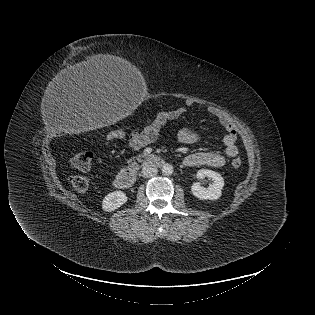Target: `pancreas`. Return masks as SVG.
Listing matches in <instances>:
<instances>
[{
  "mask_svg": "<svg viewBox=\"0 0 315 315\" xmlns=\"http://www.w3.org/2000/svg\"><path fill=\"white\" fill-rule=\"evenodd\" d=\"M129 163H131V165L134 167L135 166V164L134 163H132V160H130L129 161Z\"/></svg>",
  "mask_w": 315,
  "mask_h": 315,
  "instance_id": "obj_1",
  "label": "pancreas"
}]
</instances>
